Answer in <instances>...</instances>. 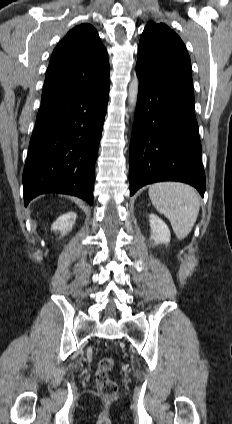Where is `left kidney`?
<instances>
[{"mask_svg":"<svg viewBox=\"0 0 232 424\" xmlns=\"http://www.w3.org/2000/svg\"><path fill=\"white\" fill-rule=\"evenodd\" d=\"M151 241L150 245L168 244L170 242V230L166 223L155 214H150Z\"/></svg>","mask_w":232,"mask_h":424,"instance_id":"obj_1","label":"left kidney"}]
</instances>
